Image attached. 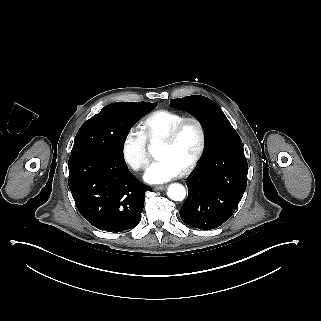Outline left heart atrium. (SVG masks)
<instances>
[{
    "label": "left heart atrium",
    "mask_w": 321,
    "mask_h": 321,
    "mask_svg": "<svg viewBox=\"0 0 321 321\" xmlns=\"http://www.w3.org/2000/svg\"><path fill=\"white\" fill-rule=\"evenodd\" d=\"M183 170L173 156H164L146 169L144 178L149 183H165L179 177Z\"/></svg>",
    "instance_id": "1"
}]
</instances>
